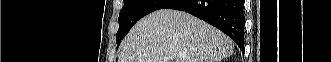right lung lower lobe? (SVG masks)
Instances as JSON below:
<instances>
[{
  "instance_id": "obj_1",
  "label": "right lung lower lobe",
  "mask_w": 331,
  "mask_h": 62,
  "mask_svg": "<svg viewBox=\"0 0 331 62\" xmlns=\"http://www.w3.org/2000/svg\"><path fill=\"white\" fill-rule=\"evenodd\" d=\"M164 8L188 12L231 37L244 52V0H173Z\"/></svg>"
}]
</instances>
